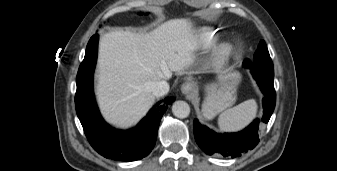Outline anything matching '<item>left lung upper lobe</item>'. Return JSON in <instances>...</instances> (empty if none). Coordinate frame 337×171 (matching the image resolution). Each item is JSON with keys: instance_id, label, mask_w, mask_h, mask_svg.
I'll return each instance as SVG.
<instances>
[{"instance_id": "5c2ea615", "label": "left lung upper lobe", "mask_w": 337, "mask_h": 171, "mask_svg": "<svg viewBox=\"0 0 337 171\" xmlns=\"http://www.w3.org/2000/svg\"><path fill=\"white\" fill-rule=\"evenodd\" d=\"M243 65L247 68H257L274 72L272 60L263 40H261L258 45V49L254 54V60L250 61L249 59H245Z\"/></svg>"}]
</instances>
